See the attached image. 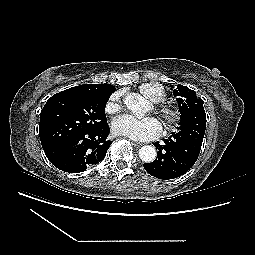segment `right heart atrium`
Segmentation results:
<instances>
[{"label": "right heart atrium", "instance_id": "d8ad5b80", "mask_svg": "<svg viewBox=\"0 0 255 255\" xmlns=\"http://www.w3.org/2000/svg\"><path fill=\"white\" fill-rule=\"evenodd\" d=\"M120 108L121 105L119 102V94L115 93L107 101L105 105V110L108 114H115L120 110Z\"/></svg>", "mask_w": 255, "mask_h": 255}]
</instances>
